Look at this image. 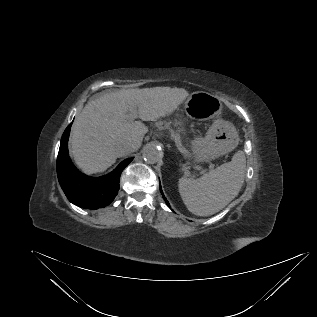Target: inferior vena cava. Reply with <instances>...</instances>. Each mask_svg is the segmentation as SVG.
Wrapping results in <instances>:
<instances>
[{"label":"inferior vena cava","instance_id":"602c4592","mask_svg":"<svg viewBox=\"0 0 317 317\" xmlns=\"http://www.w3.org/2000/svg\"><path fill=\"white\" fill-rule=\"evenodd\" d=\"M137 150V145L130 142H124L118 146V153L120 156L127 155Z\"/></svg>","mask_w":317,"mask_h":317}]
</instances>
